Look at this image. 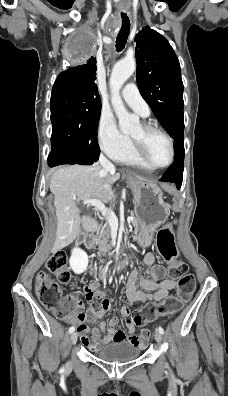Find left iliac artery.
I'll list each match as a JSON object with an SVG mask.
<instances>
[{"label": "left iliac artery", "instance_id": "obj_1", "mask_svg": "<svg viewBox=\"0 0 228 396\" xmlns=\"http://www.w3.org/2000/svg\"><path fill=\"white\" fill-rule=\"evenodd\" d=\"M158 331H159L161 334H164V329H163L162 327H158Z\"/></svg>", "mask_w": 228, "mask_h": 396}]
</instances>
